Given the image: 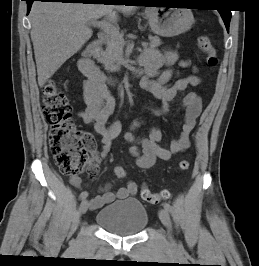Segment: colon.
<instances>
[{
    "label": "colon",
    "instance_id": "1",
    "mask_svg": "<svg viewBox=\"0 0 259 266\" xmlns=\"http://www.w3.org/2000/svg\"><path fill=\"white\" fill-rule=\"evenodd\" d=\"M198 47L206 54V63L214 68L218 64L216 50L207 36L198 38ZM42 109L49 129V146L60 171L67 175H76L88 163L87 149L92 146L90 134L79 130L72 117L71 104L62 89L53 81L48 82L42 91ZM190 163L183 159L179 162L181 170L189 169ZM117 178H124L126 171L118 166L114 169ZM168 197L167 191L153 193L143 187L141 198L153 205L159 204Z\"/></svg>",
    "mask_w": 259,
    "mask_h": 266
}]
</instances>
